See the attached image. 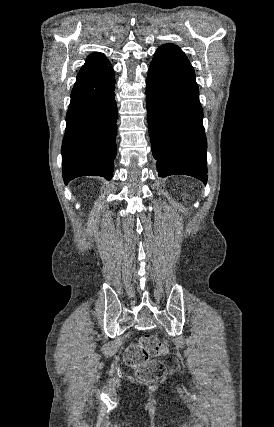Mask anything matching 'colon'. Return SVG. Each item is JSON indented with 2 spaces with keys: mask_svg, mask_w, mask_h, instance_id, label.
<instances>
[{
  "mask_svg": "<svg viewBox=\"0 0 274 427\" xmlns=\"http://www.w3.org/2000/svg\"><path fill=\"white\" fill-rule=\"evenodd\" d=\"M168 352L166 344L153 335H143L124 352V362L143 382L158 381L167 375L166 365L155 358Z\"/></svg>",
  "mask_w": 274,
  "mask_h": 427,
  "instance_id": "5ec220e1",
  "label": "colon"
}]
</instances>
